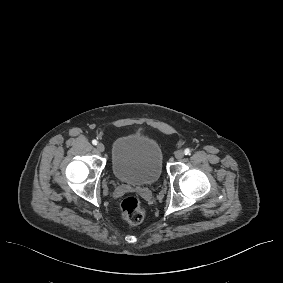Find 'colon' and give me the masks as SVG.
I'll use <instances>...</instances> for the list:
<instances>
[{"mask_svg": "<svg viewBox=\"0 0 283 283\" xmlns=\"http://www.w3.org/2000/svg\"><path fill=\"white\" fill-rule=\"evenodd\" d=\"M122 219L130 226L141 224L145 218V208L135 196L124 198L120 204Z\"/></svg>", "mask_w": 283, "mask_h": 283, "instance_id": "5ec220e1", "label": "colon"}]
</instances>
